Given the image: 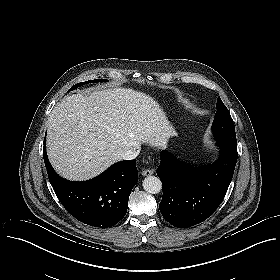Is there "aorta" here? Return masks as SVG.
Masks as SVG:
<instances>
[{"label":"aorta","mask_w":280,"mask_h":280,"mask_svg":"<svg viewBox=\"0 0 280 280\" xmlns=\"http://www.w3.org/2000/svg\"><path fill=\"white\" fill-rule=\"evenodd\" d=\"M143 188L146 192L150 194H157L162 189V183L158 177L155 176H147L143 180Z\"/></svg>","instance_id":"762f6f07"}]
</instances>
